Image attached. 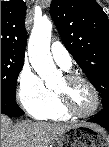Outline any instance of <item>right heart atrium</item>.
Returning a JSON list of instances; mask_svg holds the SVG:
<instances>
[{
  "instance_id": "1",
  "label": "right heart atrium",
  "mask_w": 109,
  "mask_h": 147,
  "mask_svg": "<svg viewBox=\"0 0 109 147\" xmlns=\"http://www.w3.org/2000/svg\"><path fill=\"white\" fill-rule=\"evenodd\" d=\"M17 97L23 108L31 115L49 107L54 101V93L29 66H24L20 71Z\"/></svg>"
}]
</instances>
